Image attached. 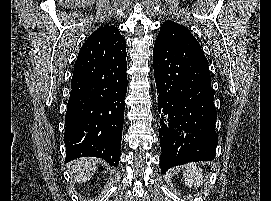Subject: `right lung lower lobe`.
<instances>
[{"instance_id": "1", "label": "right lung lower lobe", "mask_w": 271, "mask_h": 201, "mask_svg": "<svg viewBox=\"0 0 271 201\" xmlns=\"http://www.w3.org/2000/svg\"><path fill=\"white\" fill-rule=\"evenodd\" d=\"M126 43L91 35L74 65L65 117L64 143L69 162L94 156L117 166L127 91Z\"/></svg>"}]
</instances>
